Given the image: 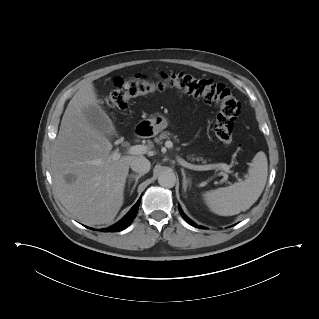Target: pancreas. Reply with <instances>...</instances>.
Instances as JSON below:
<instances>
[{
  "label": "pancreas",
  "mask_w": 319,
  "mask_h": 319,
  "mask_svg": "<svg viewBox=\"0 0 319 319\" xmlns=\"http://www.w3.org/2000/svg\"><path fill=\"white\" fill-rule=\"evenodd\" d=\"M172 134L170 133V132H167V131H164V132H162L160 135H159V137H156L155 139H154V141L156 142V143H161V140H163V139H169L170 138V136H171ZM174 138L176 139V136H174ZM188 159L189 160H192V161H201L203 164H206V160L205 159H203L202 157H197V158H195L194 156H189L188 157Z\"/></svg>",
  "instance_id": "pancreas-1"
}]
</instances>
